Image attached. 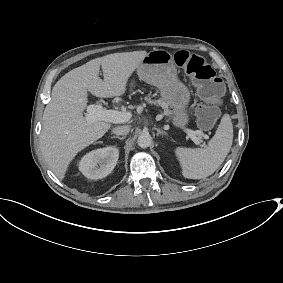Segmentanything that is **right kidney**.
<instances>
[{
  "label": "right kidney",
  "instance_id": "1",
  "mask_svg": "<svg viewBox=\"0 0 283 283\" xmlns=\"http://www.w3.org/2000/svg\"><path fill=\"white\" fill-rule=\"evenodd\" d=\"M119 151L115 147L96 149L79 162V171L89 179H101L109 175L117 164Z\"/></svg>",
  "mask_w": 283,
  "mask_h": 283
}]
</instances>
